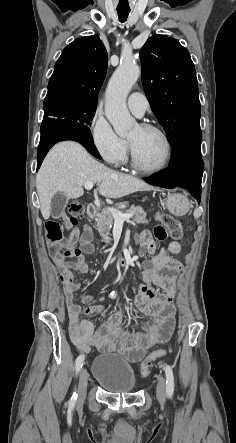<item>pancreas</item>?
<instances>
[{"label": "pancreas", "mask_w": 236, "mask_h": 443, "mask_svg": "<svg viewBox=\"0 0 236 443\" xmlns=\"http://www.w3.org/2000/svg\"><path fill=\"white\" fill-rule=\"evenodd\" d=\"M123 214H133V220L137 223L147 224L148 220L146 218V212L141 206H131L129 209H124L122 206L118 210ZM114 224V217L111 212L102 211L97 214V227L96 230L102 237V241L109 244L111 239L109 237V232Z\"/></svg>", "instance_id": "1"}]
</instances>
